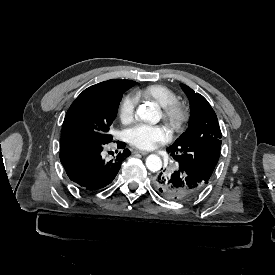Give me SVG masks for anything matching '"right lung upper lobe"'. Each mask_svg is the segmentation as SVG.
Here are the masks:
<instances>
[{
    "mask_svg": "<svg viewBox=\"0 0 275 275\" xmlns=\"http://www.w3.org/2000/svg\"><path fill=\"white\" fill-rule=\"evenodd\" d=\"M134 84H135V82L131 81V80L111 79V80L104 81V82H101L96 85L88 87L79 95V97L85 96V95L121 90V89L127 90L130 87H132Z\"/></svg>",
    "mask_w": 275,
    "mask_h": 275,
    "instance_id": "cb5924a9",
    "label": "right lung upper lobe"
}]
</instances>
